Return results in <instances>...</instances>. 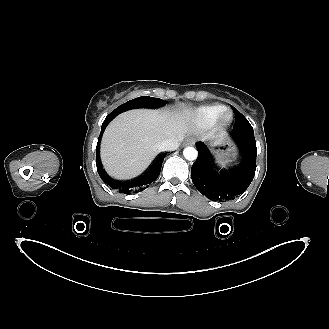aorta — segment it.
I'll use <instances>...</instances> for the list:
<instances>
[{
	"mask_svg": "<svg viewBox=\"0 0 329 329\" xmlns=\"http://www.w3.org/2000/svg\"><path fill=\"white\" fill-rule=\"evenodd\" d=\"M183 155L187 160H195L198 156V152L194 147H186L183 150Z\"/></svg>",
	"mask_w": 329,
	"mask_h": 329,
	"instance_id": "1",
	"label": "aorta"
}]
</instances>
